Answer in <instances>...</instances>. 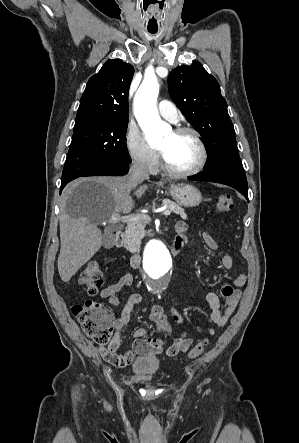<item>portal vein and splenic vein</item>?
<instances>
[{"mask_svg":"<svg viewBox=\"0 0 299 443\" xmlns=\"http://www.w3.org/2000/svg\"><path fill=\"white\" fill-rule=\"evenodd\" d=\"M163 214L165 216H169L171 214V211L164 210ZM138 220H150V217L147 215H143V214L128 215V216H120L119 214H114L109 218L108 223L117 224L120 222H124L127 224H131V223L138 221Z\"/></svg>","mask_w":299,"mask_h":443,"instance_id":"portal-vein-and-splenic-vein-1","label":"portal vein and splenic vein"}]
</instances>
